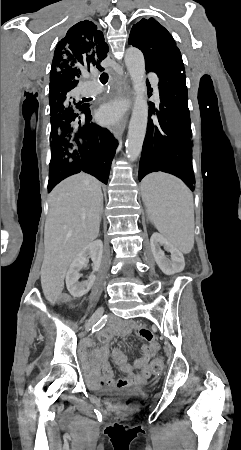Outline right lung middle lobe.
Returning <instances> with one entry per match:
<instances>
[{
	"instance_id": "right-lung-middle-lobe-1",
	"label": "right lung middle lobe",
	"mask_w": 241,
	"mask_h": 450,
	"mask_svg": "<svg viewBox=\"0 0 241 450\" xmlns=\"http://www.w3.org/2000/svg\"><path fill=\"white\" fill-rule=\"evenodd\" d=\"M49 103L52 138L51 150L72 149L74 144L72 137L59 130L58 125L64 120L74 121L81 118L85 112L89 111V108L85 105H80L81 102H76L70 96L49 101Z\"/></svg>"
}]
</instances>
